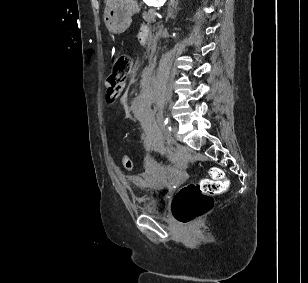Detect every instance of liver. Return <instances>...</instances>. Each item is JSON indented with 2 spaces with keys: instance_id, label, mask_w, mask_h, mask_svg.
I'll use <instances>...</instances> for the list:
<instances>
[{
  "instance_id": "1",
  "label": "liver",
  "mask_w": 308,
  "mask_h": 283,
  "mask_svg": "<svg viewBox=\"0 0 308 283\" xmlns=\"http://www.w3.org/2000/svg\"><path fill=\"white\" fill-rule=\"evenodd\" d=\"M117 1H118V0H106V8H107L108 6H110L111 4L117 2ZM106 8H105V9H106Z\"/></svg>"
}]
</instances>
